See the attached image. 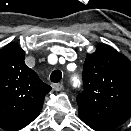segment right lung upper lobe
I'll list each match as a JSON object with an SVG mask.
<instances>
[{
  "instance_id": "right-lung-upper-lobe-1",
  "label": "right lung upper lobe",
  "mask_w": 131,
  "mask_h": 131,
  "mask_svg": "<svg viewBox=\"0 0 131 131\" xmlns=\"http://www.w3.org/2000/svg\"><path fill=\"white\" fill-rule=\"evenodd\" d=\"M25 52L16 43L0 50V128L18 131L40 113L51 87L24 62Z\"/></svg>"
}]
</instances>
